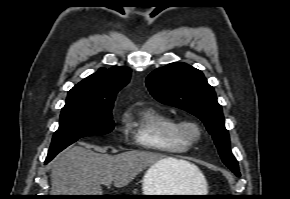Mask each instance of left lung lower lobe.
I'll return each instance as SVG.
<instances>
[{"label": "left lung lower lobe", "mask_w": 290, "mask_h": 199, "mask_svg": "<svg viewBox=\"0 0 290 199\" xmlns=\"http://www.w3.org/2000/svg\"><path fill=\"white\" fill-rule=\"evenodd\" d=\"M233 173H235L237 176H240V172L238 170H232Z\"/></svg>", "instance_id": "1"}]
</instances>
